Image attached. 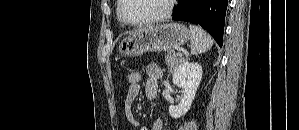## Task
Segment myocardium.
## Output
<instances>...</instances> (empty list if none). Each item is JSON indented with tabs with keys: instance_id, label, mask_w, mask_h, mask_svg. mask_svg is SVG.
I'll return each instance as SVG.
<instances>
[{
	"instance_id": "1",
	"label": "myocardium",
	"mask_w": 299,
	"mask_h": 130,
	"mask_svg": "<svg viewBox=\"0 0 299 130\" xmlns=\"http://www.w3.org/2000/svg\"><path fill=\"white\" fill-rule=\"evenodd\" d=\"M126 2H127V0H120L119 10H118L119 20L127 26H130L133 28H142V27L155 25V24H158V23H161V22L167 20L173 12L174 4L176 1L169 0L167 3L166 10L161 15L154 17L152 19L146 20V21H142V22H131L125 17L124 8H125Z\"/></svg>"
}]
</instances>
